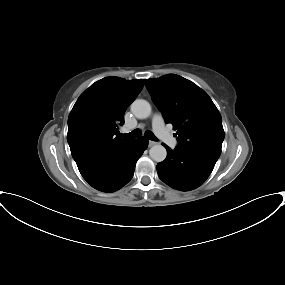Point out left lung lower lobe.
Wrapping results in <instances>:
<instances>
[{"mask_svg": "<svg viewBox=\"0 0 285 285\" xmlns=\"http://www.w3.org/2000/svg\"><path fill=\"white\" fill-rule=\"evenodd\" d=\"M157 164L159 178L170 187L189 191L199 187L211 174L218 159L177 146Z\"/></svg>", "mask_w": 285, "mask_h": 285, "instance_id": "obj_1", "label": "left lung lower lobe"}]
</instances>
